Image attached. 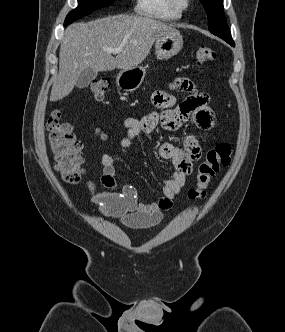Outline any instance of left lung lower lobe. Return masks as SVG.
Here are the masks:
<instances>
[{
  "label": "left lung lower lobe",
  "mask_w": 285,
  "mask_h": 332,
  "mask_svg": "<svg viewBox=\"0 0 285 332\" xmlns=\"http://www.w3.org/2000/svg\"><path fill=\"white\" fill-rule=\"evenodd\" d=\"M227 43H229L230 45L234 46V42L227 41Z\"/></svg>",
  "instance_id": "0a47b994"
}]
</instances>
